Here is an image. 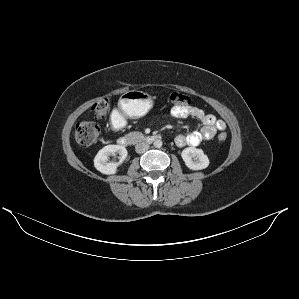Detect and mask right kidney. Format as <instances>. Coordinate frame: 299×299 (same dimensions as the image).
<instances>
[{
	"mask_svg": "<svg viewBox=\"0 0 299 299\" xmlns=\"http://www.w3.org/2000/svg\"><path fill=\"white\" fill-rule=\"evenodd\" d=\"M120 155L119 162H108V157L114 154ZM127 149L120 145H107L103 147L94 158L95 168L103 174H115L118 166L126 159Z\"/></svg>",
	"mask_w": 299,
	"mask_h": 299,
	"instance_id": "ca27d5eb",
	"label": "right kidney"
}]
</instances>
